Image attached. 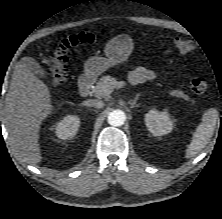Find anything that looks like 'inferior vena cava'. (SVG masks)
Instances as JSON below:
<instances>
[{
  "label": "inferior vena cava",
  "mask_w": 222,
  "mask_h": 219,
  "mask_svg": "<svg viewBox=\"0 0 222 219\" xmlns=\"http://www.w3.org/2000/svg\"><path fill=\"white\" fill-rule=\"evenodd\" d=\"M84 105L91 106L98 109L104 107V103L101 100H97V99L87 100L84 102Z\"/></svg>",
  "instance_id": "obj_1"
}]
</instances>
